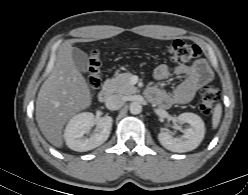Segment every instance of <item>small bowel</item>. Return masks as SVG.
Here are the masks:
<instances>
[{
  "mask_svg": "<svg viewBox=\"0 0 248 195\" xmlns=\"http://www.w3.org/2000/svg\"><path fill=\"white\" fill-rule=\"evenodd\" d=\"M172 73L182 78L172 92L157 87H151L147 91L149 98L164 108L190 102L197 90L212 79V71L203 60L196 61L191 65H178L173 69L161 64L154 70V77L158 81H164Z\"/></svg>",
  "mask_w": 248,
  "mask_h": 195,
  "instance_id": "1",
  "label": "small bowel"
}]
</instances>
